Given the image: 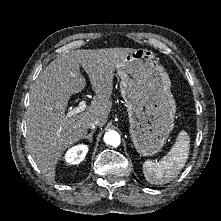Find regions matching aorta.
<instances>
[{
	"label": "aorta",
	"instance_id": "762f6f07",
	"mask_svg": "<svg viewBox=\"0 0 221 221\" xmlns=\"http://www.w3.org/2000/svg\"><path fill=\"white\" fill-rule=\"evenodd\" d=\"M104 142L113 147H117L120 144V135L114 130H110L104 135Z\"/></svg>",
	"mask_w": 221,
	"mask_h": 221
}]
</instances>
